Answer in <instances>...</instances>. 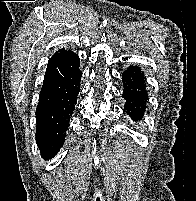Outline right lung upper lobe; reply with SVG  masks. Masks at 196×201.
<instances>
[{"instance_id": "1", "label": "right lung upper lobe", "mask_w": 196, "mask_h": 201, "mask_svg": "<svg viewBox=\"0 0 196 201\" xmlns=\"http://www.w3.org/2000/svg\"><path fill=\"white\" fill-rule=\"evenodd\" d=\"M59 53H70V54H75L70 50H59L58 52H56L55 54H59Z\"/></svg>"}]
</instances>
